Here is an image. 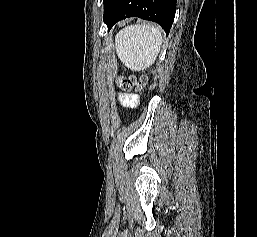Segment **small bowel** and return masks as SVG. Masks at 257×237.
Returning a JSON list of instances; mask_svg holds the SVG:
<instances>
[{
	"label": "small bowel",
	"mask_w": 257,
	"mask_h": 237,
	"mask_svg": "<svg viewBox=\"0 0 257 237\" xmlns=\"http://www.w3.org/2000/svg\"><path fill=\"white\" fill-rule=\"evenodd\" d=\"M120 100L127 107H135L138 103V97L133 94L122 95Z\"/></svg>",
	"instance_id": "small-bowel-1"
}]
</instances>
